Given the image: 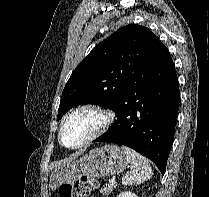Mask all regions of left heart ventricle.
I'll return each mask as SVG.
<instances>
[{
	"label": "left heart ventricle",
	"mask_w": 209,
	"mask_h": 197,
	"mask_svg": "<svg viewBox=\"0 0 209 197\" xmlns=\"http://www.w3.org/2000/svg\"><path fill=\"white\" fill-rule=\"evenodd\" d=\"M102 122L95 111L84 110L72 116L62 131V141L66 146H75L88 137Z\"/></svg>",
	"instance_id": "1"
}]
</instances>
